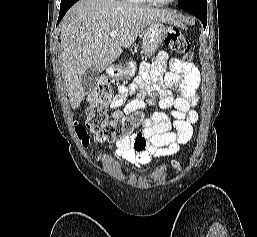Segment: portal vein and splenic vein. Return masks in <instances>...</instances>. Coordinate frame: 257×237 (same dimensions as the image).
<instances>
[{
    "label": "portal vein and splenic vein",
    "mask_w": 257,
    "mask_h": 237,
    "mask_svg": "<svg viewBox=\"0 0 257 237\" xmlns=\"http://www.w3.org/2000/svg\"><path fill=\"white\" fill-rule=\"evenodd\" d=\"M117 34H118L117 30H113L110 32V37L115 38L117 36Z\"/></svg>",
    "instance_id": "obj_1"
}]
</instances>
